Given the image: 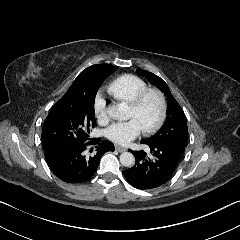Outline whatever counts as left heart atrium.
Wrapping results in <instances>:
<instances>
[{
	"instance_id": "39dd6f15",
	"label": "left heart atrium",
	"mask_w": 240,
	"mask_h": 240,
	"mask_svg": "<svg viewBox=\"0 0 240 240\" xmlns=\"http://www.w3.org/2000/svg\"><path fill=\"white\" fill-rule=\"evenodd\" d=\"M141 130L138 122L134 119H130L127 122L112 125L107 130L106 136L109 140L119 145H127L139 135Z\"/></svg>"
}]
</instances>
